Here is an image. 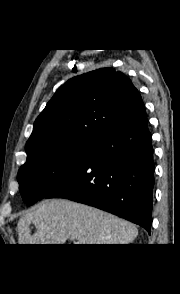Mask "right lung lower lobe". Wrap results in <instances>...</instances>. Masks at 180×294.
Returning a JSON list of instances; mask_svg holds the SVG:
<instances>
[{
  "mask_svg": "<svg viewBox=\"0 0 180 294\" xmlns=\"http://www.w3.org/2000/svg\"><path fill=\"white\" fill-rule=\"evenodd\" d=\"M153 185V147L142 104L102 135L80 167L46 198L84 203L149 232Z\"/></svg>",
  "mask_w": 180,
  "mask_h": 294,
  "instance_id": "1",
  "label": "right lung lower lobe"
}]
</instances>
